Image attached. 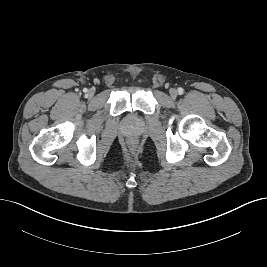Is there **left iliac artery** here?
Listing matches in <instances>:
<instances>
[{"mask_svg": "<svg viewBox=\"0 0 267 267\" xmlns=\"http://www.w3.org/2000/svg\"><path fill=\"white\" fill-rule=\"evenodd\" d=\"M178 93L182 94L183 93V88H178Z\"/></svg>", "mask_w": 267, "mask_h": 267, "instance_id": "left-iliac-artery-1", "label": "left iliac artery"}]
</instances>
